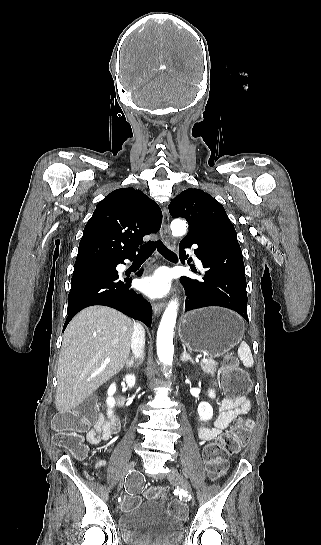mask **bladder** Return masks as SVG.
<instances>
[{"mask_svg": "<svg viewBox=\"0 0 321 545\" xmlns=\"http://www.w3.org/2000/svg\"><path fill=\"white\" fill-rule=\"evenodd\" d=\"M118 525L121 539L128 545H176L184 531L183 523L154 499L122 511Z\"/></svg>", "mask_w": 321, "mask_h": 545, "instance_id": "obj_1", "label": "bladder"}]
</instances>
